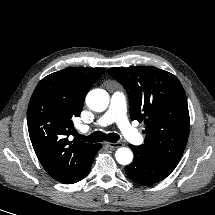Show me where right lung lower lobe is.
<instances>
[{
	"mask_svg": "<svg viewBox=\"0 0 215 215\" xmlns=\"http://www.w3.org/2000/svg\"><path fill=\"white\" fill-rule=\"evenodd\" d=\"M101 147H102V146H101V144H95V148H94V156H95L96 152H97L99 149H101ZM94 156H93V158H92L91 162L89 163V165H88V167H87L86 171L84 172V174H83L82 178H84V177L89 173L90 168H91V165H92V162H93V159H94ZM82 178H81V179H82Z\"/></svg>",
	"mask_w": 215,
	"mask_h": 215,
	"instance_id": "1",
	"label": "right lung lower lobe"
}]
</instances>
